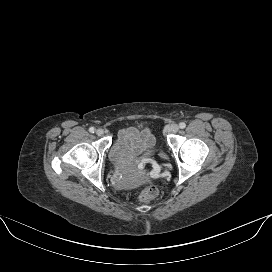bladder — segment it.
<instances>
[{
  "label": "bladder",
  "instance_id": "obj_1",
  "mask_svg": "<svg viewBox=\"0 0 272 272\" xmlns=\"http://www.w3.org/2000/svg\"><path fill=\"white\" fill-rule=\"evenodd\" d=\"M109 160L112 164L117 165L118 164V158L117 155L115 153L114 148H112L110 154H109Z\"/></svg>",
  "mask_w": 272,
  "mask_h": 272
}]
</instances>
